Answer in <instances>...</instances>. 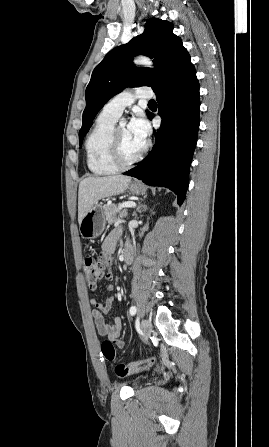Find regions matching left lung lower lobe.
I'll return each mask as SVG.
<instances>
[{
  "instance_id": "obj_1",
  "label": "left lung lower lobe",
  "mask_w": 269,
  "mask_h": 447,
  "mask_svg": "<svg viewBox=\"0 0 269 447\" xmlns=\"http://www.w3.org/2000/svg\"><path fill=\"white\" fill-rule=\"evenodd\" d=\"M155 94L162 127L156 132L149 155L124 175L136 177L147 185L169 188L182 205L200 123L199 82L186 50L170 78ZM148 117L152 119L153 114L148 113Z\"/></svg>"
}]
</instances>
